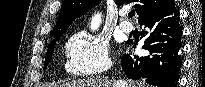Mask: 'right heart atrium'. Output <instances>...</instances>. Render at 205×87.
Listing matches in <instances>:
<instances>
[{"instance_id":"obj_1","label":"right heart atrium","mask_w":205,"mask_h":87,"mask_svg":"<svg viewBox=\"0 0 205 87\" xmlns=\"http://www.w3.org/2000/svg\"><path fill=\"white\" fill-rule=\"evenodd\" d=\"M66 71L76 76H96L111 67L108 43L102 38L78 32L70 37L65 46Z\"/></svg>"}]
</instances>
